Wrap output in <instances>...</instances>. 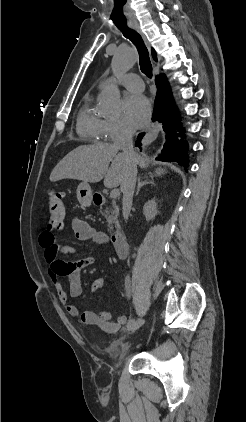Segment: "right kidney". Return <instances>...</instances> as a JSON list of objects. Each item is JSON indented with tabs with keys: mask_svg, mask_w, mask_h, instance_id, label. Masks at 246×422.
Masks as SVG:
<instances>
[{
	"mask_svg": "<svg viewBox=\"0 0 246 422\" xmlns=\"http://www.w3.org/2000/svg\"><path fill=\"white\" fill-rule=\"evenodd\" d=\"M157 203L155 199L148 200L143 207V214L147 220H153L157 215Z\"/></svg>",
	"mask_w": 246,
	"mask_h": 422,
	"instance_id": "ca27d5eb",
	"label": "right kidney"
}]
</instances>
